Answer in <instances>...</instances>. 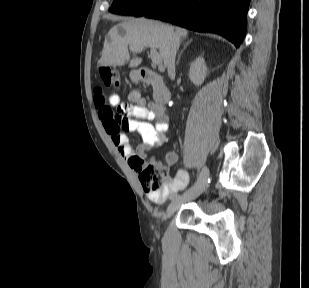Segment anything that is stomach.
<instances>
[{
	"label": "stomach",
	"mask_w": 309,
	"mask_h": 288,
	"mask_svg": "<svg viewBox=\"0 0 309 288\" xmlns=\"http://www.w3.org/2000/svg\"><path fill=\"white\" fill-rule=\"evenodd\" d=\"M130 78L132 81L137 82L139 81L140 77H139V73L135 70L131 71L130 73Z\"/></svg>",
	"instance_id": "0dacf381"
}]
</instances>
